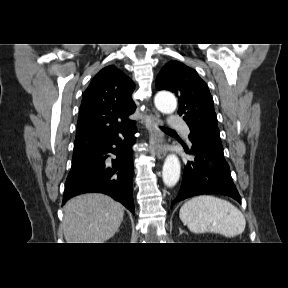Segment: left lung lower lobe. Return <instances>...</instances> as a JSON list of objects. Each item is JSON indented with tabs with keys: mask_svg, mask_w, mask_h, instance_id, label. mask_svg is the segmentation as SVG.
<instances>
[{
	"mask_svg": "<svg viewBox=\"0 0 288 288\" xmlns=\"http://www.w3.org/2000/svg\"><path fill=\"white\" fill-rule=\"evenodd\" d=\"M190 141L192 146L189 154L195 159L188 161L180 191L172 205L186 198L206 193L227 195L241 203V197L232 181L223 152L201 140Z\"/></svg>",
	"mask_w": 288,
	"mask_h": 288,
	"instance_id": "1",
	"label": "left lung lower lobe"
}]
</instances>
